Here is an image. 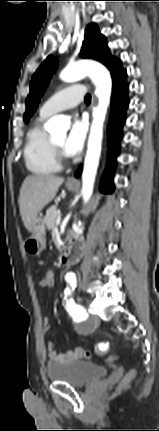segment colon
Returning a JSON list of instances; mask_svg holds the SVG:
<instances>
[{
	"label": "colon",
	"mask_w": 159,
	"mask_h": 431,
	"mask_svg": "<svg viewBox=\"0 0 159 431\" xmlns=\"http://www.w3.org/2000/svg\"><path fill=\"white\" fill-rule=\"evenodd\" d=\"M51 267L53 268V271L51 272L52 273V276L48 279V284H49V288H50V291H53L56 287H57V284L55 283L56 282V279H55V277L53 276L54 275V266H52L51 265ZM84 356L86 357V358H93L94 357V354L93 353H91V352H87V351H85V353H84ZM114 356L112 355V354H108L107 355V359H106V362L107 363H111L112 361L114 362V363H116L118 360H117V358L119 357L117 354L115 355V358L112 360V358H113ZM135 376V372L132 370V371H130L129 373H127V375L125 376V378H124V380H123V383L125 384V383H128L130 380H132V378Z\"/></svg>",
	"instance_id": "colon-1"
}]
</instances>
